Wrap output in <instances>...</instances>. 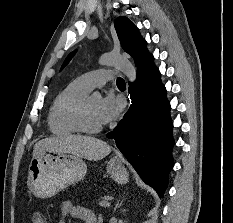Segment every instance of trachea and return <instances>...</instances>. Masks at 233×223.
I'll return each instance as SVG.
<instances>
[{
	"label": "trachea",
	"instance_id": "3493384b",
	"mask_svg": "<svg viewBox=\"0 0 233 223\" xmlns=\"http://www.w3.org/2000/svg\"><path fill=\"white\" fill-rule=\"evenodd\" d=\"M117 85H125V81L123 80V78H118L117 79Z\"/></svg>",
	"mask_w": 233,
	"mask_h": 223
}]
</instances>
